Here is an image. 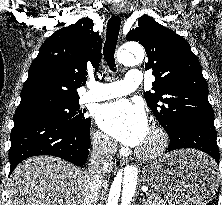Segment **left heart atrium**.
<instances>
[{"instance_id":"39dd6f15","label":"left heart atrium","mask_w":222,"mask_h":205,"mask_svg":"<svg viewBox=\"0 0 222 205\" xmlns=\"http://www.w3.org/2000/svg\"><path fill=\"white\" fill-rule=\"evenodd\" d=\"M97 121L110 136L132 147L139 146L149 131L143 108L128 100H118L101 106Z\"/></svg>"}]
</instances>
